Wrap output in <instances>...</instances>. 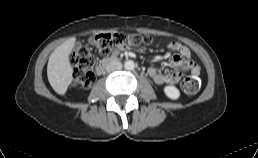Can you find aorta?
Instances as JSON below:
<instances>
[{"label":"aorta","mask_w":258,"mask_h":158,"mask_svg":"<svg viewBox=\"0 0 258 158\" xmlns=\"http://www.w3.org/2000/svg\"><path fill=\"white\" fill-rule=\"evenodd\" d=\"M124 67L126 70H133L135 67V64L132 60H128L124 63Z\"/></svg>","instance_id":"obj_1"}]
</instances>
